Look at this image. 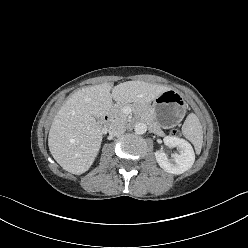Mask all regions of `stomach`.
Segmentation results:
<instances>
[{
    "label": "stomach",
    "instance_id": "1",
    "mask_svg": "<svg viewBox=\"0 0 248 248\" xmlns=\"http://www.w3.org/2000/svg\"><path fill=\"white\" fill-rule=\"evenodd\" d=\"M153 118L163 128H171L178 124L186 112V103L181 93L169 89L154 99Z\"/></svg>",
    "mask_w": 248,
    "mask_h": 248
}]
</instances>
